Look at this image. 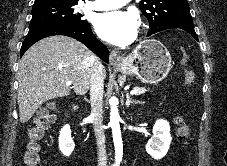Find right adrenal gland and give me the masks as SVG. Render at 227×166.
I'll use <instances>...</instances> for the list:
<instances>
[{
	"mask_svg": "<svg viewBox=\"0 0 227 166\" xmlns=\"http://www.w3.org/2000/svg\"><path fill=\"white\" fill-rule=\"evenodd\" d=\"M85 100H86L88 103L90 102L87 98H85Z\"/></svg>",
	"mask_w": 227,
	"mask_h": 166,
	"instance_id": "obj_1",
	"label": "right adrenal gland"
}]
</instances>
